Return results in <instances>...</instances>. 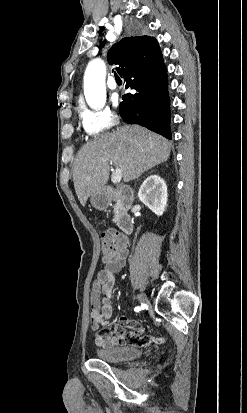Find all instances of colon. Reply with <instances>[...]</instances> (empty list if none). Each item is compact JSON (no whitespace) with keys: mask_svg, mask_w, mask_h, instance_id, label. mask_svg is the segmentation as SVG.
Listing matches in <instances>:
<instances>
[{"mask_svg":"<svg viewBox=\"0 0 247 413\" xmlns=\"http://www.w3.org/2000/svg\"><path fill=\"white\" fill-rule=\"evenodd\" d=\"M124 237L118 233L106 232L102 234L100 257L107 259L109 256H122L124 247Z\"/></svg>","mask_w":247,"mask_h":413,"instance_id":"1","label":"colon"}]
</instances>
